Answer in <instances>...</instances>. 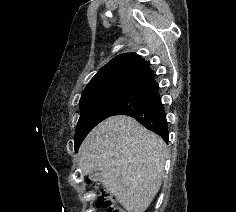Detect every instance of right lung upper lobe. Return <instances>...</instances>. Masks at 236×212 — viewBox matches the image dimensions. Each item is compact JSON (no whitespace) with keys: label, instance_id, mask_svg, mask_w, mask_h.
<instances>
[{"label":"right lung upper lobe","instance_id":"cb5924a9","mask_svg":"<svg viewBox=\"0 0 236 212\" xmlns=\"http://www.w3.org/2000/svg\"><path fill=\"white\" fill-rule=\"evenodd\" d=\"M153 73L149 62L136 53L116 56L102 67L86 86L81 99L119 90H132Z\"/></svg>","mask_w":236,"mask_h":212}]
</instances>
